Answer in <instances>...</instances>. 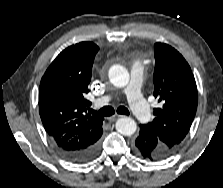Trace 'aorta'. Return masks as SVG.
<instances>
[{
    "label": "aorta",
    "mask_w": 223,
    "mask_h": 188,
    "mask_svg": "<svg viewBox=\"0 0 223 188\" xmlns=\"http://www.w3.org/2000/svg\"><path fill=\"white\" fill-rule=\"evenodd\" d=\"M110 82L116 87H125L129 83V73L122 65H113L109 69ZM117 132L125 136L133 135L137 130L136 122L130 117H122L116 121Z\"/></svg>",
    "instance_id": "762f6f07"
}]
</instances>
